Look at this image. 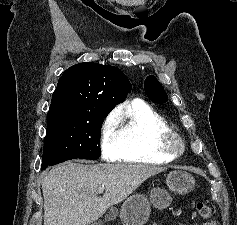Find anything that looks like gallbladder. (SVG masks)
Here are the masks:
<instances>
[{
  "mask_svg": "<svg viewBox=\"0 0 237 225\" xmlns=\"http://www.w3.org/2000/svg\"><path fill=\"white\" fill-rule=\"evenodd\" d=\"M91 225H102V222L100 221V222H98V223H93V224H91Z\"/></svg>",
  "mask_w": 237,
  "mask_h": 225,
  "instance_id": "bac80fb5",
  "label": "gallbladder"
}]
</instances>
